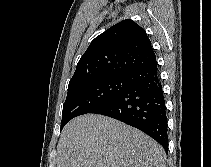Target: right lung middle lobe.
I'll use <instances>...</instances> for the list:
<instances>
[{
	"label": "right lung middle lobe",
	"instance_id": "1",
	"mask_svg": "<svg viewBox=\"0 0 211 167\" xmlns=\"http://www.w3.org/2000/svg\"><path fill=\"white\" fill-rule=\"evenodd\" d=\"M127 87L126 76H108L69 88L63 105L61 130L72 118L95 112L114 100Z\"/></svg>",
	"mask_w": 211,
	"mask_h": 167
}]
</instances>
